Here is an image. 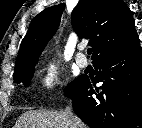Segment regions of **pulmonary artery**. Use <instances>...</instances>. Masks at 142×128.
Instances as JSON below:
<instances>
[{
    "label": "pulmonary artery",
    "instance_id": "pulmonary-artery-1",
    "mask_svg": "<svg viewBox=\"0 0 142 128\" xmlns=\"http://www.w3.org/2000/svg\"><path fill=\"white\" fill-rule=\"evenodd\" d=\"M83 47L80 46L79 52L76 54V63L81 68H86L88 66V60L85 55L82 53Z\"/></svg>",
    "mask_w": 142,
    "mask_h": 128
}]
</instances>
